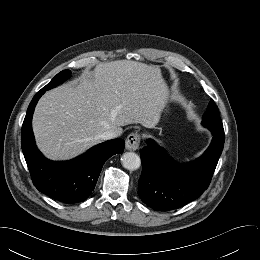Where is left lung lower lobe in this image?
Returning a JSON list of instances; mask_svg holds the SVG:
<instances>
[{
	"label": "left lung lower lobe",
	"mask_w": 260,
	"mask_h": 260,
	"mask_svg": "<svg viewBox=\"0 0 260 260\" xmlns=\"http://www.w3.org/2000/svg\"><path fill=\"white\" fill-rule=\"evenodd\" d=\"M213 135L204 154L193 162L178 164L153 140L140 151L143 170L138 195L157 211L180 208L197 199L208 188L224 146V128L203 124Z\"/></svg>",
	"instance_id": "1"
}]
</instances>
